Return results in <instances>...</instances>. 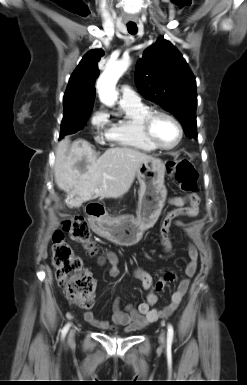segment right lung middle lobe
<instances>
[{"mask_svg":"<svg viewBox=\"0 0 247 385\" xmlns=\"http://www.w3.org/2000/svg\"><path fill=\"white\" fill-rule=\"evenodd\" d=\"M91 110L92 106L64 105L61 133L63 135H69L83 129L87 123Z\"/></svg>","mask_w":247,"mask_h":385,"instance_id":"dd1d6c3e","label":"right lung middle lobe"}]
</instances>
